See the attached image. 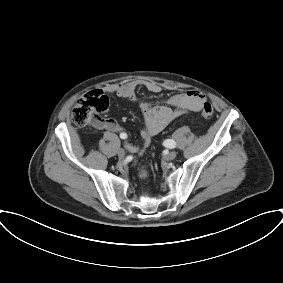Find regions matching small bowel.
Returning <instances> with one entry per match:
<instances>
[{
	"label": "small bowel",
	"mask_w": 283,
	"mask_h": 283,
	"mask_svg": "<svg viewBox=\"0 0 283 283\" xmlns=\"http://www.w3.org/2000/svg\"><path fill=\"white\" fill-rule=\"evenodd\" d=\"M139 87L144 88L149 93H159L162 90L161 85L154 81H131L122 85H107L100 92L116 94L120 98L137 102L136 90ZM167 101L172 108L166 105H152L147 101L138 103L145 124L141 133L143 145L142 147H138L132 144H126V148L130 152L137 153L147 148L152 136L163 130L173 119L189 112L199 111L202 104L206 101V97L197 90H189L185 93L174 94ZM100 127L111 132L123 131L122 127L112 119L104 120Z\"/></svg>",
	"instance_id": "c3829d8e"
}]
</instances>
